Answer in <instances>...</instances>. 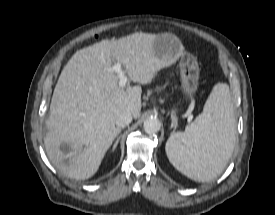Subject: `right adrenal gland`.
Instances as JSON below:
<instances>
[{"label": "right adrenal gland", "instance_id": "1", "mask_svg": "<svg viewBox=\"0 0 275 215\" xmlns=\"http://www.w3.org/2000/svg\"><path fill=\"white\" fill-rule=\"evenodd\" d=\"M119 140H120V136L117 137V139H116V141H115V143H114V145H113V148H112L113 151L116 149V147H117V145H118V143H119Z\"/></svg>", "mask_w": 275, "mask_h": 215}]
</instances>
